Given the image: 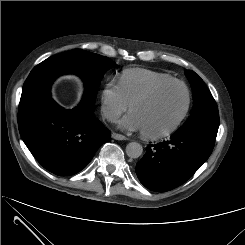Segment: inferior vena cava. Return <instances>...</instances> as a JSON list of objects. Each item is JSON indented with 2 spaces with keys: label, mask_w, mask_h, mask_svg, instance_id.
Instances as JSON below:
<instances>
[{
  "label": "inferior vena cava",
  "mask_w": 245,
  "mask_h": 245,
  "mask_svg": "<svg viewBox=\"0 0 245 245\" xmlns=\"http://www.w3.org/2000/svg\"><path fill=\"white\" fill-rule=\"evenodd\" d=\"M118 115L116 113H107L106 118L109 119L110 121H114Z\"/></svg>",
  "instance_id": "602c4592"
}]
</instances>
